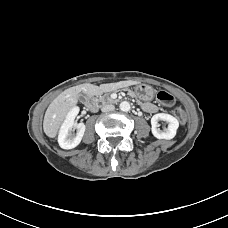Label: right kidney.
Returning a JSON list of instances; mask_svg holds the SVG:
<instances>
[{
	"label": "right kidney",
	"mask_w": 228,
	"mask_h": 228,
	"mask_svg": "<svg viewBox=\"0 0 228 228\" xmlns=\"http://www.w3.org/2000/svg\"><path fill=\"white\" fill-rule=\"evenodd\" d=\"M79 112L78 107H74L68 113L64 123L61 126L60 133L58 135V143L63 149H73L81 142L86 126L84 123H76L75 117ZM76 129V133L74 130Z\"/></svg>",
	"instance_id": "ca27d5eb"
}]
</instances>
